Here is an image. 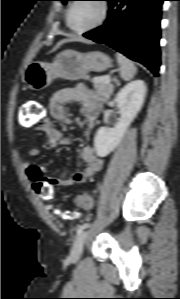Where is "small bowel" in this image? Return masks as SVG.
Returning <instances> with one entry per match:
<instances>
[{"mask_svg":"<svg viewBox=\"0 0 180 299\" xmlns=\"http://www.w3.org/2000/svg\"><path fill=\"white\" fill-rule=\"evenodd\" d=\"M74 103H79L83 106L85 109L84 119L86 126L89 129L94 128L99 119L101 103L97 96L82 87L65 88L55 92L51 96L48 104L50 116L55 120L70 124L71 119L66 113L64 106L65 104ZM36 129L46 134L47 144L50 147L66 145L72 141L71 136L64 135L59 129L55 128L52 121L49 119L41 121ZM38 155L39 149L37 147H30L27 151V156L30 159L35 158ZM80 156L85 163V167L81 171L73 172L62 177H49L46 176L44 168L26 162L24 165L26 177L29 181L33 182V184L38 181L49 182L60 187H70L82 184L88 178L101 171L103 160L96 155L93 147L90 145L82 147Z\"/></svg>","mask_w":180,"mask_h":299,"instance_id":"obj_1","label":"small bowel"}]
</instances>
